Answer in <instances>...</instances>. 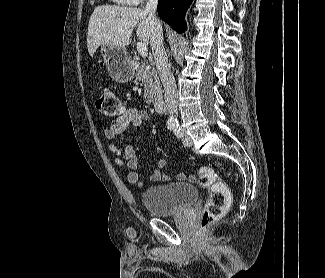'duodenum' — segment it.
Instances as JSON below:
<instances>
[{"instance_id": "duodenum-1", "label": "duodenum", "mask_w": 325, "mask_h": 278, "mask_svg": "<svg viewBox=\"0 0 325 278\" xmlns=\"http://www.w3.org/2000/svg\"><path fill=\"white\" fill-rule=\"evenodd\" d=\"M153 108L158 113H163L166 108V103L163 98H157L153 101Z\"/></svg>"}]
</instances>
